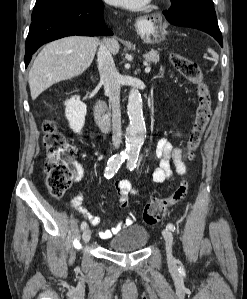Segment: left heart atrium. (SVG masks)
Segmentation results:
<instances>
[{"label":"left heart atrium","instance_id":"left-heart-atrium-1","mask_svg":"<svg viewBox=\"0 0 247 299\" xmlns=\"http://www.w3.org/2000/svg\"><path fill=\"white\" fill-rule=\"evenodd\" d=\"M108 3L128 9H137L144 6L149 0H106Z\"/></svg>","mask_w":247,"mask_h":299}]
</instances>
